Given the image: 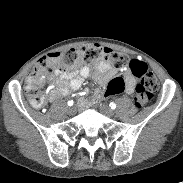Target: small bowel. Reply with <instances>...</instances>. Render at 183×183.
Masks as SVG:
<instances>
[{
    "mask_svg": "<svg viewBox=\"0 0 183 183\" xmlns=\"http://www.w3.org/2000/svg\"><path fill=\"white\" fill-rule=\"evenodd\" d=\"M93 69L94 72H92L91 68L87 66H84L80 69H74L72 71L56 68L54 73L60 78V81L52 91V97H63L69 94L71 90L79 89L82 86L84 79L88 78L89 76H92L99 85H106V87L108 83H110L112 79L115 78L116 71L107 62L98 61L93 65ZM124 81L125 86L123 91H125L127 94H132L135 89L136 79L130 68L124 73Z\"/></svg>",
    "mask_w": 183,
    "mask_h": 183,
    "instance_id": "c3829d8e",
    "label": "small bowel"
}]
</instances>
